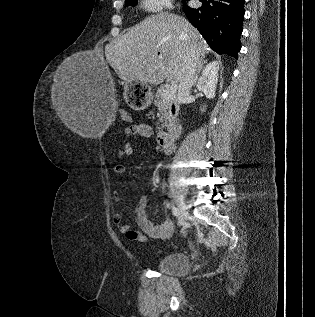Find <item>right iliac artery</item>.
I'll return each instance as SVG.
<instances>
[{
  "label": "right iliac artery",
  "instance_id": "82829eb1",
  "mask_svg": "<svg viewBox=\"0 0 315 317\" xmlns=\"http://www.w3.org/2000/svg\"><path fill=\"white\" fill-rule=\"evenodd\" d=\"M172 213L175 217H178L179 213H178V209L175 206H172Z\"/></svg>",
  "mask_w": 315,
  "mask_h": 317
}]
</instances>
